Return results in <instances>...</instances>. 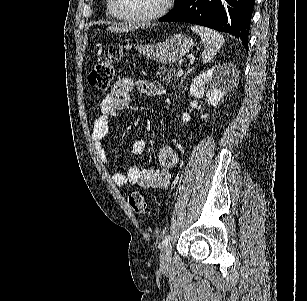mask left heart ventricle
Wrapping results in <instances>:
<instances>
[{"instance_id":"obj_1","label":"left heart ventricle","mask_w":307,"mask_h":301,"mask_svg":"<svg viewBox=\"0 0 307 301\" xmlns=\"http://www.w3.org/2000/svg\"><path fill=\"white\" fill-rule=\"evenodd\" d=\"M120 3L118 13H145L158 11L164 0H117Z\"/></svg>"}]
</instances>
